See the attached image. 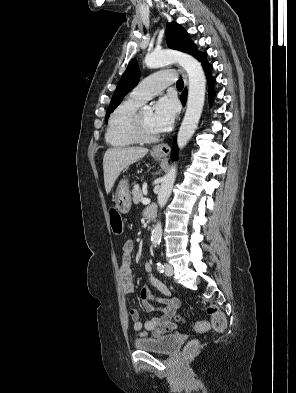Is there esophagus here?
Segmentation results:
<instances>
[{
    "label": "esophagus",
    "mask_w": 296,
    "mask_h": 393,
    "mask_svg": "<svg viewBox=\"0 0 296 393\" xmlns=\"http://www.w3.org/2000/svg\"><path fill=\"white\" fill-rule=\"evenodd\" d=\"M177 67L182 74V77H183L184 83H185V87H187V84H188L187 74L180 66L177 65ZM153 152L156 154H159V155L167 156L170 153V146L168 145V143L158 144L153 147Z\"/></svg>",
    "instance_id": "34e87169"
}]
</instances>
